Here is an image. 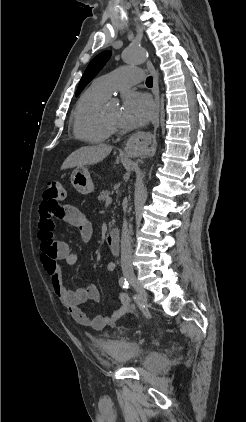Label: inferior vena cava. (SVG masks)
Returning <instances> with one entry per match:
<instances>
[{
  "instance_id": "1",
  "label": "inferior vena cava",
  "mask_w": 246,
  "mask_h": 422,
  "mask_svg": "<svg viewBox=\"0 0 246 422\" xmlns=\"http://www.w3.org/2000/svg\"><path fill=\"white\" fill-rule=\"evenodd\" d=\"M121 266L124 272H133L131 237L126 219L123 221L121 236Z\"/></svg>"
}]
</instances>
